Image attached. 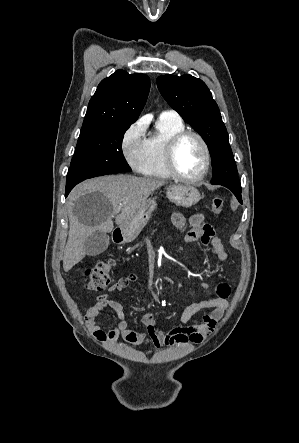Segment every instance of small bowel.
Returning a JSON list of instances; mask_svg holds the SVG:
<instances>
[{
    "mask_svg": "<svg viewBox=\"0 0 299 443\" xmlns=\"http://www.w3.org/2000/svg\"><path fill=\"white\" fill-rule=\"evenodd\" d=\"M172 223L178 229L190 226L189 231L184 237L186 244L201 241L216 255L219 261H228V252L221 239L216 236L212 226L206 222L203 214H194L187 218L182 213H174L172 215ZM136 280V274L121 277L108 288V292L123 291L135 283ZM230 294L231 287L227 282L218 283L215 288V296L187 305L180 315L181 325L167 332L159 329L154 313H146L142 316L146 332H137L129 329L124 320L122 304L115 299H111L108 294H102L97 297L96 304L87 311L85 323L99 340L113 345H117L119 339H123L133 346H138L147 339L156 347L197 344L214 332L218 321L223 317L229 306L228 298ZM105 308L113 310L119 319L118 323L108 330H104L97 322ZM205 310H209V313L203 316L202 322H191V319L196 314Z\"/></svg>",
    "mask_w": 299,
    "mask_h": 443,
    "instance_id": "1",
    "label": "small bowel"
}]
</instances>
